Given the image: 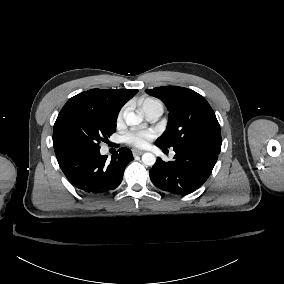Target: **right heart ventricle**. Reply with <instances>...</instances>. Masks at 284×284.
Returning <instances> with one entry per match:
<instances>
[{
    "mask_svg": "<svg viewBox=\"0 0 284 284\" xmlns=\"http://www.w3.org/2000/svg\"><path fill=\"white\" fill-rule=\"evenodd\" d=\"M151 101H160V100L155 99V98H148V99H146V100L144 101V103H143V106H142V107H144L147 103H149V102H151Z\"/></svg>",
    "mask_w": 284,
    "mask_h": 284,
    "instance_id": "obj_1",
    "label": "right heart ventricle"
}]
</instances>
